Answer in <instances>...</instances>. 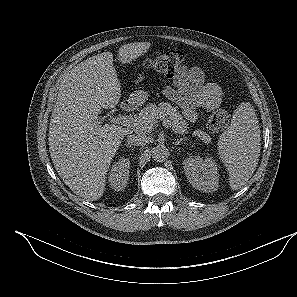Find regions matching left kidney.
I'll use <instances>...</instances> for the list:
<instances>
[{"label":"left kidney","mask_w":297,"mask_h":297,"mask_svg":"<svg viewBox=\"0 0 297 297\" xmlns=\"http://www.w3.org/2000/svg\"><path fill=\"white\" fill-rule=\"evenodd\" d=\"M183 168L191 185L200 191L210 193L217 190L219 185L218 167L211 157L202 159L199 156L184 160Z\"/></svg>","instance_id":"5707ae66"}]
</instances>
